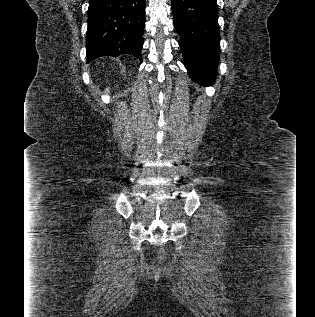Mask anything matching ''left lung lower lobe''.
Segmentation results:
<instances>
[{"instance_id":"0a47b994","label":"left lung lower lobe","mask_w":315,"mask_h":317,"mask_svg":"<svg viewBox=\"0 0 315 317\" xmlns=\"http://www.w3.org/2000/svg\"><path fill=\"white\" fill-rule=\"evenodd\" d=\"M183 63L199 84H212L217 74L220 34L217 0H171Z\"/></svg>"}]
</instances>
